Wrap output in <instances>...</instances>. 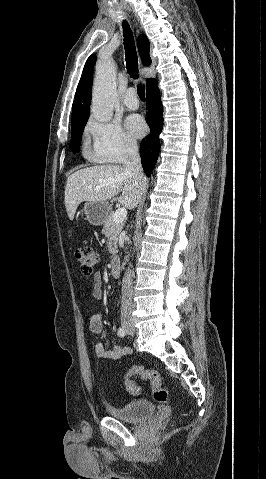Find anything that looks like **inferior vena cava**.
Segmentation results:
<instances>
[{
	"mask_svg": "<svg viewBox=\"0 0 266 479\" xmlns=\"http://www.w3.org/2000/svg\"><path fill=\"white\" fill-rule=\"evenodd\" d=\"M123 167L126 171L133 174L137 181L145 179L143 169L141 166L140 155L136 143H127L125 145L123 158ZM132 299H133V285H132V271L127 269L122 280V300H121V319L127 320L132 314Z\"/></svg>",
	"mask_w": 266,
	"mask_h": 479,
	"instance_id": "obj_1",
	"label": "inferior vena cava"
}]
</instances>
